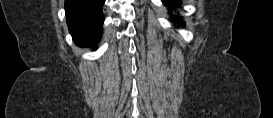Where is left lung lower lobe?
Instances as JSON below:
<instances>
[{
	"label": "left lung lower lobe",
	"mask_w": 273,
	"mask_h": 118,
	"mask_svg": "<svg viewBox=\"0 0 273 118\" xmlns=\"http://www.w3.org/2000/svg\"><path fill=\"white\" fill-rule=\"evenodd\" d=\"M162 2L169 7L170 11L175 10L181 5L180 0H162ZM172 19L179 22L181 20V17H176L172 15Z\"/></svg>",
	"instance_id": "0a47b994"
}]
</instances>
